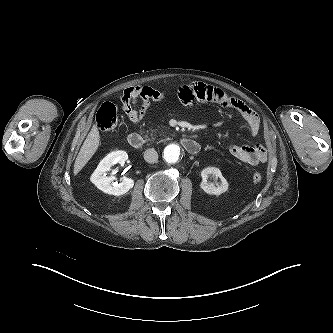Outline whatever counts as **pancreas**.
I'll return each mask as SVG.
<instances>
[{"instance_id":"obj_1","label":"pancreas","mask_w":333,"mask_h":333,"mask_svg":"<svg viewBox=\"0 0 333 333\" xmlns=\"http://www.w3.org/2000/svg\"><path fill=\"white\" fill-rule=\"evenodd\" d=\"M146 137L148 138V136H146ZM150 137H151V139L149 138L148 140H152L153 141L155 139L153 133L150 134Z\"/></svg>"}]
</instances>
